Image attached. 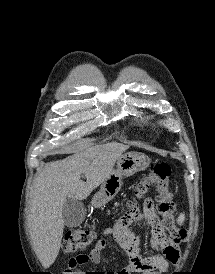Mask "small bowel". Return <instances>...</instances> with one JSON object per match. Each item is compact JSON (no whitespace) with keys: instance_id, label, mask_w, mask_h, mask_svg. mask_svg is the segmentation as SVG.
Wrapping results in <instances>:
<instances>
[{"instance_id":"1","label":"small bowel","mask_w":215,"mask_h":274,"mask_svg":"<svg viewBox=\"0 0 215 274\" xmlns=\"http://www.w3.org/2000/svg\"><path fill=\"white\" fill-rule=\"evenodd\" d=\"M146 223L151 232L152 253H140V237L132 226ZM111 236L128 257V266L118 272H89L81 269L88 261L99 263L101 252L106 247V237ZM161 252V253H160ZM180 258L179 246L167 240L158 220L151 198L145 199L140 209L134 208L123 215L112 228H105L101 237L88 255L71 258L63 274H162L170 265H176Z\"/></svg>"}]
</instances>
